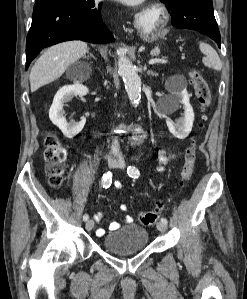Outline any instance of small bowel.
<instances>
[{"label":"small bowel","instance_id":"c3829d8e","mask_svg":"<svg viewBox=\"0 0 247 299\" xmlns=\"http://www.w3.org/2000/svg\"><path fill=\"white\" fill-rule=\"evenodd\" d=\"M158 159H159V161H160L161 164H166V163L169 162V157H168L164 152H160V153H159ZM115 186H116L117 189H120V183H116ZM120 209H121L122 211H125V210L127 209V207H126L125 204H121V205H120ZM102 217H103V215H102V213H100V212H99V213H96V214L94 215V219H95V221H97V222L101 221ZM131 220H132V219H131L130 217H127V218H126V221H127V222H130ZM119 227H120V224H119V222H117V221H111V222L109 223V229L112 230V231H113V230H117ZM96 234H97L98 236H102V235L105 234V230H104L103 228H98V229L96 230Z\"/></svg>","mask_w":247,"mask_h":299}]
</instances>
